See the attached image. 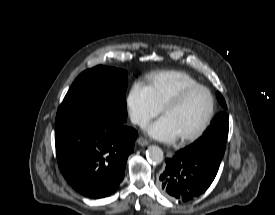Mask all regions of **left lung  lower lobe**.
Segmentation results:
<instances>
[{
  "label": "left lung lower lobe",
  "instance_id": "left-lung-lower-lobe-1",
  "mask_svg": "<svg viewBox=\"0 0 275 215\" xmlns=\"http://www.w3.org/2000/svg\"><path fill=\"white\" fill-rule=\"evenodd\" d=\"M166 167L159 177L162 191L171 199L187 202L204 193L213 182L218 163L179 150L165 160Z\"/></svg>",
  "mask_w": 275,
  "mask_h": 215
}]
</instances>
